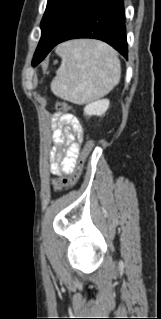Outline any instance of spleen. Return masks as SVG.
Instances as JSON below:
<instances>
[{"mask_svg": "<svg viewBox=\"0 0 161 319\" xmlns=\"http://www.w3.org/2000/svg\"><path fill=\"white\" fill-rule=\"evenodd\" d=\"M61 66L52 80V92L74 104H85L107 95L121 75L117 52L95 40H74L59 45Z\"/></svg>", "mask_w": 161, "mask_h": 319, "instance_id": "spleen-1", "label": "spleen"}]
</instances>
